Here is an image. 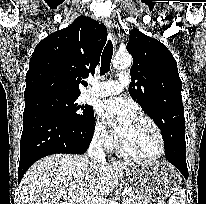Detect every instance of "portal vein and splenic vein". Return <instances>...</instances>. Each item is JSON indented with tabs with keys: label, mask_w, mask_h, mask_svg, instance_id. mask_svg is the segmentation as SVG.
Here are the masks:
<instances>
[{
	"label": "portal vein and splenic vein",
	"mask_w": 206,
	"mask_h": 204,
	"mask_svg": "<svg viewBox=\"0 0 206 204\" xmlns=\"http://www.w3.org/2000/svg\"><path fill=\"white\" fill-rule=\"evenodd\" d=\"M129 192H130V190L126 188V189H124V191L122 192V195H123V196H127Z\"/></svg>",
	"instance_id": "portal-vein-and-splenic-vein-1"
}]
</instances>
